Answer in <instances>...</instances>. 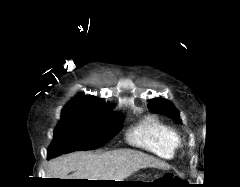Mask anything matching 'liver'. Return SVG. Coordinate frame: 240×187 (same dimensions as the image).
<instances>
[{"label": "liver", "mask_w": 240, "mask_h": 187, "mask_svg": "<svg viewBox=\"0 0 240 187\" xmlns=\"http://www.w3.org/2000/svg\"><path fill=\"white\" fill-rule=\"evenodd\" d=\"M168 166L158 159L130 149L104 153L74 152L49 162L47 178L123 181L140 169ZM73 172L71 175H68Z\"/></svg>", "instance_id": "1"}]
</instances>
